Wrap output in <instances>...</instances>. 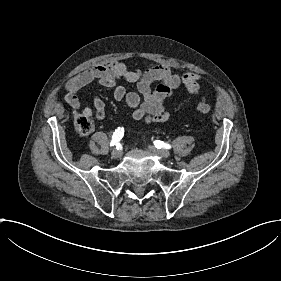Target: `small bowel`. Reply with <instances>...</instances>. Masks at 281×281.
<instances>
[{
	"mask_svg": "<svg viewBox=\"0 0 281 281\" xmlns=\"http://www.w3.org/2000/svg\"><path fill=\"white\" fill-rule=\"evenodd\" d=\"M120 81L137 84L141 96L136 92L127 91L118 84ZM199 81L200 75L197 73L188 72L178 75L156 63H152L145 71H141L129 69L122 62L112 61L70 79L65 85V99L76 111H79L81 105L78 93L89 84L97 83L112 88L113 98L116 101L125 102L132 110L134 119L164 123L169 119V114L164 108V101L180 86H183L192 96L198 97L200 95ZM154 82H160V85L153 91L150 86ZM91 104L95 108L97 118L102 119L106 112L105 102L99 97H94L91 99ZM82 111L87 115L92 114L90 108H84Z\"/></svg>",
	"mask_w": 281,
	"mask_h": 281,
	"instance_id": "c3829d8e",
	"label": "small bowel"
}]
</instances>
